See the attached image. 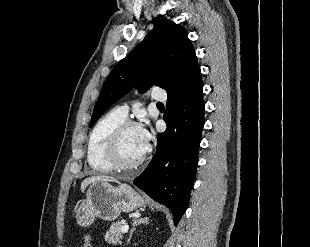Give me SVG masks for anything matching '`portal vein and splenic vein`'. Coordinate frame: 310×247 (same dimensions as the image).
Segmentation results:
<instances>
[{"instance_id": "18ae733b", "label": "portal vein and splenic vein", "mask_w": 310, "mask_h": 247, "mask_svg": "<svg viewBox=\"0 0 310 247\" xmlns=\"http://www.w3.org/2000/svg\"><path fill=\"white\" fill-rule=\"evenodd\" d=\"M128 230H129V226L125 224V225L122 227L121 232H122V233H126V232H128Z\"/></svg>"}]
</instances>
